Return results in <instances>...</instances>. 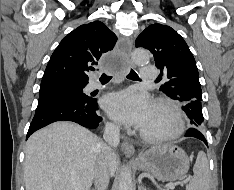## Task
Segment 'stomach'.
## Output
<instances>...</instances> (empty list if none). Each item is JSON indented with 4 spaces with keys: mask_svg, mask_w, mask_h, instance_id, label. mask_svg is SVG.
Segmentation results:
<instances>
[{
    "mask_svg": "<svg viewBox=\"0 0 234 190\" xmlns=\"http://www.w3.org/2000/svg\"><path fill=\"white\" fill-rule=\"evenodd\" d=\"M137 167L159 181H176L189 170L190 161L185 151L172 143L155 145L141 153Z\"/></svg>",
    "mask_w": 234,
    "mask_h": 190,
    "instance_id": "stomach-1",
    "label": "stomach"
}]
</instances>
